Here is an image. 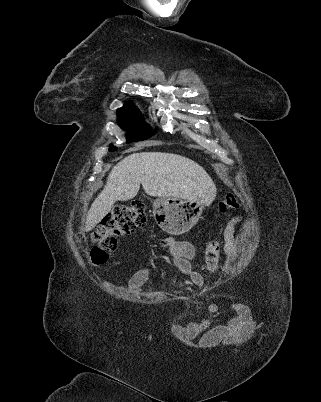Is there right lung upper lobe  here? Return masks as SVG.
Listing matches in <instances>:
<instances>
[{
	"mask_svg": "<svg viewBox=\"0 0 321 402\" xmlns=\"http://www.w3.org/2000/svg\"><path fill=\"white\" fill-rule=\"evenodd\" d=\"M124 106H127V107H135V105H134L133 103H130V102L126 103Z\"/></svg>",
	"mask_w": 321,
	"mask_h": 402,
	"instance_id": "cb5924a9",
	"label": "right lung upper lobe"
}]
</instances>
